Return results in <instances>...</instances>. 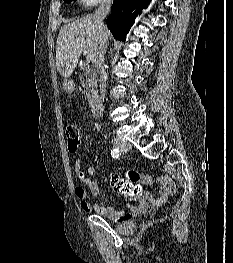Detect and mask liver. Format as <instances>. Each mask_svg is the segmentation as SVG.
<instances>
[{
	"label": "liver",
	"instance_id": "obj_1",
	"mask_svg": "<svg viewBox=\"0 0 233 263\" xmlns=\"http://www.w3.org/2000/svg\"><path fill=\"white\" fill-rule=\"evenodd\" d=\"M97 47L98 29L93 16H85L64 25L56 42V66L60 74L69 77L81 53L96 55Z\"/></svg>",
	"mask_w": 233,
	"mask_h": 263
}]
</instances>
